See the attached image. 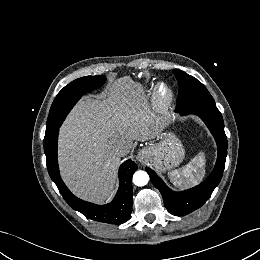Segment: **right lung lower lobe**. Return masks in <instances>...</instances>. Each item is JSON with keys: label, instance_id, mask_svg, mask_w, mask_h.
<instances>
[{"label": "right lung lower lobe", "instance_id": "right-lung-lower-lobe-1", "mask_svg": "<svg viewBox=\"0 0 260 260\" xmlns=\"http://www.w3.org/2000/svg\"><path fill=\"white\" fill-rule=\"evenodd\" d=\"M58 129L50 136L45 134L44 152L49 175L57 185L63 198L74 210L79 211L89 219L110 224L126 222L132 212V175L136 171L137 165L133 161L127 160L120 166L119 189L111 203L99 206L82 201L68 190L60 177L57 162Z\"/></svg>", "mask_w": 260, "mask_h": 260}]
</instances>
